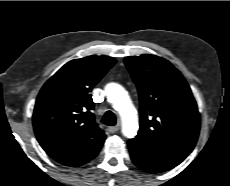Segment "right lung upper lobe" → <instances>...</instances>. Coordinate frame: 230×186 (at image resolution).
<instances>
[{"label":"right lung upper lobe","instance_id":"1","mask_svg":"<svg viewBox=\"0 0 230 186\" xmlns=\"http://www.w3.org/2000/svg\"><path fill=\"white\" fill-rule=\"evenodd\" d=\"M115 63L104 56L75 59L42 87L33 126L38 142L57 162L80 166L101 149L106 135L95 123L90 91Z\"/></svg>","mask_w":230,"mask_h":186}]
</instances>
